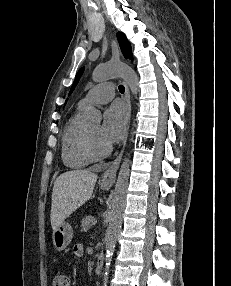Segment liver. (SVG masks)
I'll return each instance as SVG.
<instances>
[{"instance_id": "6515ba94", "label": "liver", "mask_w": 231, "mask_h": 286, "mask_svg": "<svg viewBox=\"0 0 231 286\" xmlns=\"http://www.w3.org/2000/svg\"><path fill=\"white\" fill-rule=\"evenodd\" d=\"M97 178L89 170H71L56 178L50 214L53 230L91 198Z\"/></svg>"}]
</instances>
